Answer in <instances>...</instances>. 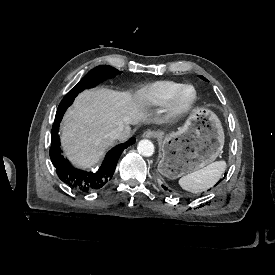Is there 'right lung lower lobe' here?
<instances>
[{
    "label": "right lung lower lobe",
    "instance_id": "98d812e1",
    "mask_svg": "<svg viewBox=\"0 0 275 275\" xmlns=\"http://www.w3.org/2000/svg\"><path fill=\"white\" fill-rule=\"evenodd\" d=\"M73 101L61 102L56 112L51 134L50 158L56 168L58 177L78 192L88 193L102 188L113 176L121 153L128 146L135 143V138L119 144L111 149L99 170L95 173L85 172L74 168L70 162L61 155L58 128L66 109Z\"/></svg>",
    "mask_w": 275,
    "mask_h": 275
}]
</instances>
